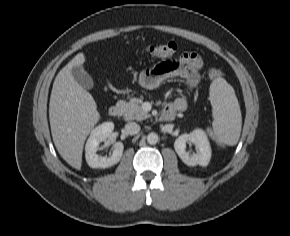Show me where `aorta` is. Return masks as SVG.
Returning a JSON list of instances; mask_svg holds the SVG:
<instances>
[{
	"label": "aorta",
	"mask_w": 290,
	"mask_h": 236,
	"mask_svg": "<svg viewBox=\"0 0 290 236\" xmlns=\"http://www.w3.org/2000/svg\"><path fill=\"white\" fill-rule=\"evenodd\" d=\"M158 135L155 132H151L147 135V142L151 145H154L158 142Z\"/></svg>",
	"instance_id": "obj_1"
}]
</instances>
